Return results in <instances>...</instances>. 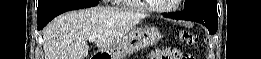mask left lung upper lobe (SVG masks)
<instances>
[{"label": "left lung upper lobe", "mask_w": 261, "mask_h": 59, "mask_svg": "<svg viewBox=\"0 0 261 59\" xmlns=\"http://www.w3.org/2000/svg\"><path fill=\"white\" fill-rule=\"evenodd\" d=\"M184 9H202L217 12V3L216 0H185Z\"/></svg>", "instance_id": "left-lung-upper-lobe-1"}]
</instances>
